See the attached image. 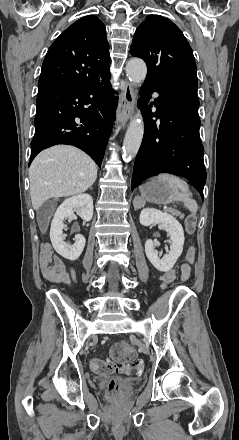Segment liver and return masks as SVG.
Segmentation results:
<instances>
[{
	"label": "liver",
	"mask_w": 239,
	"mask_h": 440,
	"mask_svg": "<svg viewBox=\"0 0 239 440\" xmlns=\"http://www.w3.org/2000/svg\"><path fill=\"white\" fill-rule=\"evenodd\" d=\"M97 166L87 154L73 146H53L43 150L29 168L33 210L49 198L83 194L97 178Z\"/></svg>",
	"instance_id": "liver-1"
}]
</instances>
